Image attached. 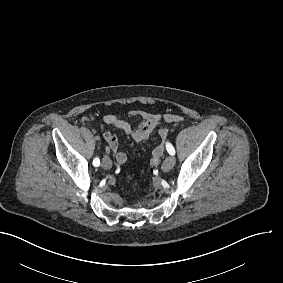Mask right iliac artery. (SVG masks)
<instances>
[{"mask_svg": "<svg viewBox=\"0 0 283 283\" xmlns=\"http://www.w3.org/2000/svg\"><path fill=\"white\" fill-rule=\"evenodd\" d=\"M93 165H94L95 167H98V166L100 165V160H99V158H95V159L93 160Z\"/></svg>", "mask_w": 283, "mask_h": 283, "instance_id": "obj_1", "label": "right iliac artery"}]
</instances>
